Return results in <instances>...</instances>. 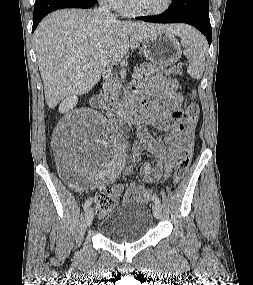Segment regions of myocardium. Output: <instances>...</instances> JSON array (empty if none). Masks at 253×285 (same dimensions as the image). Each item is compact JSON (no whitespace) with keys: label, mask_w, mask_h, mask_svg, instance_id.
Instances as JSON below:
<instances>
[{"label":"myocardium","mask_w":253,"mask_h":285,"mask_svg":"<svg viewBox=\"0 0 253 285\" xmlns=\"http://www.w3.org/2000/svg\"><path fill=\"white\" fill-rule=\"evenodd\" d=\"M172 4H173V0H167L166 4L161 9L153 10V11H146V10H140L136 8L133 5L132 0H126L127 10L131 14L136 15V16H157V15L163 14L166 11H168L171 8Z\"/></svg>","instance_id":"obj_1"}]
</instances>
